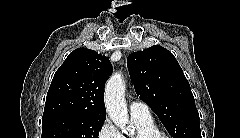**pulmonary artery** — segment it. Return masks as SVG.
Segmentation results:
<instances>
[{
  "mask_svg": "<svg viewBox=\"0 0 240 138\" xmlns=\"http://www.w3.org/2000/svg\"><path fill=\"white\" fill-rule=\"evenodd\" d=\"M132 117H150V109L147 104L139 100H133L130 104Z\"/></svg>",
  "mask_w": 240,
  "mask_h": 138,
  "instance_id": "pulmonary-artery-1",
  "label": "pulmonary artery"
}]
</instances>
